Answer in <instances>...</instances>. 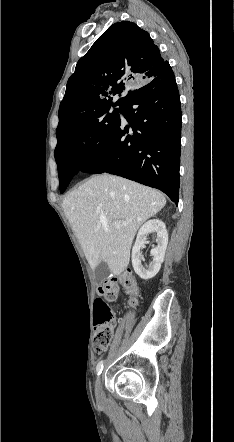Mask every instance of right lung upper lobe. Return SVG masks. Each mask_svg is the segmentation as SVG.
<instances>
[{"label": "right lung upper lobe", "mask_w": 234, "mask_h": 442, "mask_svg": "<svg viewBox=\"0 0 234 442\" xmlns=\"http://www.w3.org/2000/svg\"><path fill=\"white\" fill-rule=\"evenodd\" d=\"M148 32L132 22L110 26L77 63L59 107L57 139L85 116L122 105L143 81L153 80L167 65ZM124 96L116 103L109 95Z\"/></svg>", "instance_id": "obj_1"}]
</instances>
